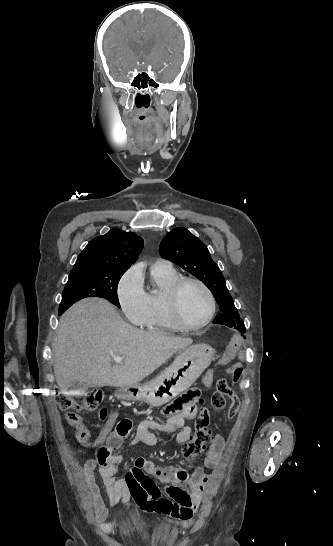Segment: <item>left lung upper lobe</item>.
Segmentation results:
<instances>
[{"label": "left lung upper lobe", "mask_w": 333, "mask_h": 546, "mask_svg": "<svg viewBox=\"0 0 333 546\" xmlns=\"http://www.w3.org/2000/svg\"><path fill=\"white\" fill-rule=\"evenodd\" d=\"M159 254L201 280L213 293L221 313L243 323L218 265L197 237L185 228H175L162 240Z\"/></svg>", "instance_id": "left-lung-upper-lobe-1"}]
</instances>
